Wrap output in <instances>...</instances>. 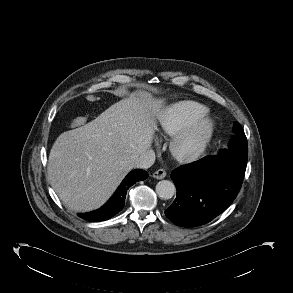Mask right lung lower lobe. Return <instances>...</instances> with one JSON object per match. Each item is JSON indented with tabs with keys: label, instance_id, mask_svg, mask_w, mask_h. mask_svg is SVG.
<instances>
[{
	"label": "right lung lower lobe",
	"instance_id": "right-lung-lower-lobe-1",
	"mask_svg": "<svg viewBox=\"0 0 293 293\" xmlns=\"http://www.w3.org/2000/svg\"><path fill=\"white\" fill-rule=\"evenodd\" d=\"M148 173L144 170L137 169L130 172L117 188L113 196L101 208L88 212L78 214L87 221H104L121 211L124 207L127 190L138 181L145 180Z\"/></svg>",
	"mask_w": 293,
	"mask_h": 293
}]
</instances>
